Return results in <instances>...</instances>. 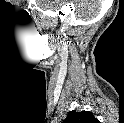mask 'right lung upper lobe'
Masks as SVG:
<instances>
[{
	"label": "right lung upper lobe",
	"instance_id": "cb5924a9",
	"mask_svg": "<svg viewBox=\"0 0 124 123\" xmlns=\"http://www.w3.org/2000/svg\"><path fill=\"white\" fill-rule=\"evenodd\" d=\"M98 122L95 119L94 115L88 111H70L67 118L64 120V123H96Z\"/></svg>",
	"mask_w": 124,
	"mask_h": 123
}]
</instances>
